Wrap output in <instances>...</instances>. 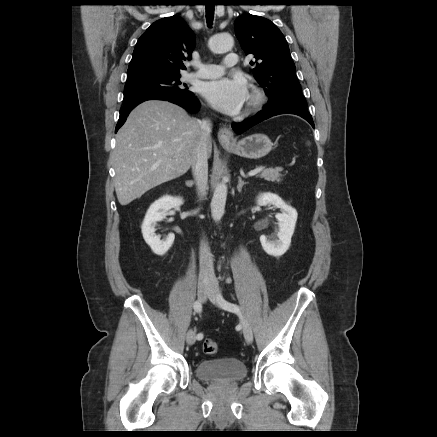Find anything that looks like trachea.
Masks as SVG:
<instances>
[{"instance_id":"3493384b","label":"trachea","mask_w":437,"mask_h":437,"mask_svg":"<svg viewBox=\"0 0 437 437\" xmlns=\"http://www.w3.org/2000/svg\"><path fill=\"white\" fill-rule=\"evenodd\" d=\"M214 19V6L213 5H207L206 6V21L208 27H211L213 24Z\"/></svg>"}]
</instances>
